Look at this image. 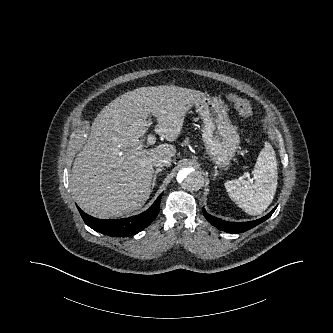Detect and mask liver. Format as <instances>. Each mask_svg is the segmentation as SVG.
<instances>
[{"instance_id": "6515ba94", "label": "liver", "mask_w": 333, "mask_h": 333, "mask_svg": "<svg viewBox=\"0 0 333 333\" xmlns=\"http://www.w3.org/2000/svg\"><path fill=\"white\" fill-rule=\"evenodd\" d=\"M204 97L203 92L178 86H150L128 91L105 106L73 163L69 182L78 205L101 219L142 207L152 189L153 159L176 153L167 143L144 149L147 118L155 117V132L173 142L187 112Z\"/></svg>"}]
</instances>
